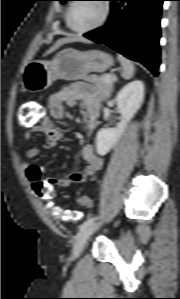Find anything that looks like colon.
I'll list each match as a JSON object with an SVG mask.
<instances>
[{
    "mask_svg": "<svg viewBox=\"0 0 180 299\" xmlns=\"http://www.w3.org/2000/svg\"><path fill=\"white\" fill-rule=\"evenodd\" d=\"M97 1V0H95ZM46 117V111L40 104H28L21 109L20 124L24 127H30L40 123ZM33 190L38 198L42 201L49 202L54 197L53 185L51 183H43L37 181L33 183ZM82 204H88L86 199L81 200ZM54 213L57 217L65 221H76L81 218V213L78 210H63L56 208Z\"/></svg>",
    "mask_w": 180,
    "mask_h": 299,
    "instance_id": "5ec220e1",
    "label": "colon"
}]
</instances>
